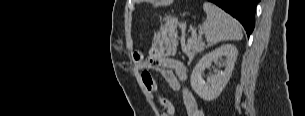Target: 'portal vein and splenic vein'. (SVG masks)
<instances>
[{
	"instance_id": "portal-vein-and-splenic-vein-1",
	"label": "portal vein and splenic vein",
	"mask_w": 305,
	"mask_h": 116,
	"mask_svg": "<svg viewBox=\"0 0 305 116\" xmlns=\"http://www.w3.org/2000/svg\"><path fill=\"white\" fill-rule=\"evenodd\" d=\"M192 35H193V36L196 35V30H193V31H192Z\"/></svg>"
}]
</instances>
